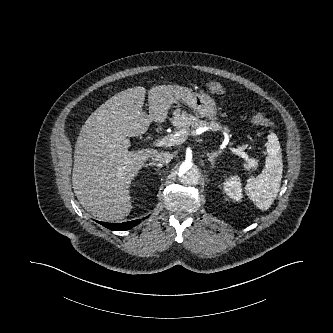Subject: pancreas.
<instances>
[{
    "label": "pancreas",
    "instance_id": "1",
    "mask_svg": "<svg viewBox=\"0 0 333 333\" xmlns=\"http://www.w3.org/2000/svg\"><path fill=\"white\" fill-rule=\"evenodd\" d=\"M173 125L178 131L184 130L187 131L185 137L189 135V132H194L196 129L201 128V127H217V124H210L206 121H200L197 117H194L190 114H187L185 112L180 113V111L176 110L174 112V120H173ZM177 131V132H178ZM183 138V141L185 139ZM248 168H256L257 164L255 160H249L247 162Z\"/></svg>",
    "mask_w": 333,
    "mask_h": 333
}]
</instances>
